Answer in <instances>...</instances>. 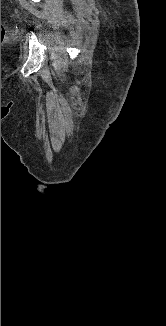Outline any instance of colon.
<instances>
[{"instance_id": "colon-1", "label": "colon", "mask_w": 166, "mask_h": 326, "mask_svg": "<svg viewBox=\"0 0 166 326\" xmlns=\"http://www.w3.org/2000/svg\"><path fill=\"white\" fill-rule=\"evenodd\" d=\"M4 39H5V28L1 24V44L3 43Z\"/></svg>"}]
</instances>
